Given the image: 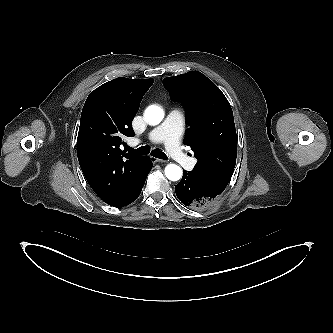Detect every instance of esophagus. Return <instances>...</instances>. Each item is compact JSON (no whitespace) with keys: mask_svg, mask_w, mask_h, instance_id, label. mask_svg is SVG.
Wrapping results in <instances>:
<instances>
[{"mask_svg":"<svg viewBox=\"0 0 333 333\" xmlns=\"http://www.w3.org/2000/svg\"><path fill=\"white\" fill-rule=\"evenodd\" d=\"M150 160H151V162L152 163H163V162H166L165 160H163V159H159V158H156V157H154V156H151L150 157Z\"/></svg>","mask_w":333,"mask_h":333,"instance_id":"34e87169","label":"esophagus"}]
</instances>
